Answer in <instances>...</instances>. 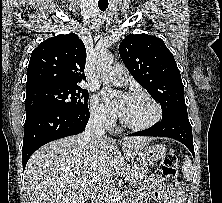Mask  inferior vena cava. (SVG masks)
Listing matches in <instances>:
<instances>
[{
  "label": "inferior vena cava",
  "instance_id": "inferior-vena-cava-1",
  "mask_svg": "<svg viewBox=\"0 0 222 203\" xmlns=\"http://www.w3.org/2000/svg\"><path fill=\"white\" fill-rule=\"evenodd\" d=\"M106 116L103 113H92L84 131V140L87 143H93L98 139L106 138L104 124ZM104 186L99 183L92 193V203H106Z\"/></svg>",
  "mask_w": 222,
  "mask_h": 203
}]
</instances>
